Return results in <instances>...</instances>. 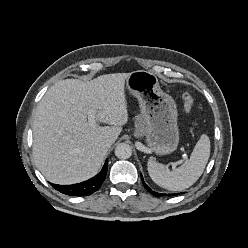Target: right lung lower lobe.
I'll use <instances>...</instances> for the list:
<instances>
[{
    "label": "right lung lower lobe",
    "mask_w": 248,
    "mask_h": 248,
    "mask_svg": "<svg viewBox=\"0 0 248 248\" xmlns=\"http://www.w3.org/2000/svg\"><path fill=\"white\" fill-rule=\"evenodd\" d=\"M107 166H108V160H106L100 173L87 181L73 185H57V184H51V185L56 190L67 195H71V196L91 195L101 187L106 177Z\"/></svg>",
    "instance_id": "right-lung-lower-lobe-1"
}]
</instances>
